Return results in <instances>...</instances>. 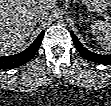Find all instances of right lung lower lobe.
I'll return each instance as SVG.
<instances>
[{"mask_svg": "<svg viewBox=\"0 0 111 106\" xmlns=\"http://www.w3.org/2000/svg\"><path fill=\"white\" fill-rule=\"evenodd\" d=\"M43 35L44 31H42L36 40L24 51L15 55L0 57V69L16 68L31 60L41 44Z\"/></svg>", "mask_w": 111, "mask_h": 106, "instance_id": "1", "label": "right lung lower lobe"}]
</instances>
